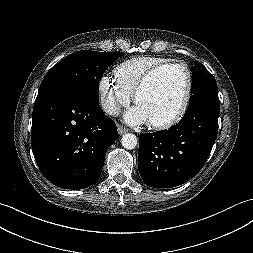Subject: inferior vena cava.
Masks as SVG:
<instances>
[{
  "label": "inferior vena cava",
  "mask_w": 253,
  "mask_h": 253,
  "mask_svg": "<svg viewBox=\"0 0 253 253\" xmlns=\"http://www.w3.org/2000/svg\"><path fill=\"white\" fill-rule=\"evenodd\" d=\"M102 107L104 111L109 115L117 116L120 114V106L115 102H109V101L104 102L102 104Z\"/></svg>",
  "instance_id": "1"
}]
</instances>
